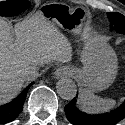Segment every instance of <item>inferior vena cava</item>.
<instances>
[{"label":"inferior vena cava","instance_id":"inferior-vena-cava-1","mask_svg":"<svg viewBox=\"0 0 125 125\" xmlns=\"http://www.w3.org/2000/svg\"><path fill=\"white\" fill-rule=\"evenodd\" d=\"M38 76H39L38 69L32 68V69H29V70L25 71L22 75V78L25 81H31V80L36 79Z\"/></svg>","mask_w":125,"mask_h":125}]
</instances>
